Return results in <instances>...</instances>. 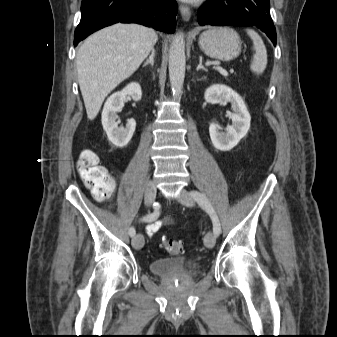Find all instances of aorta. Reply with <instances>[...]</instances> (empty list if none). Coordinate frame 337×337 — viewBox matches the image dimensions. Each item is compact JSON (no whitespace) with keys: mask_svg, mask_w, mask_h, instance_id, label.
Segmentation results:
<instances>
[{"mask_svg":"<svg viewBox=\"0 0 337 337\" xmlns=\"http://www.w3.org/2000/svg\"><path fill=\"white\" fill-rule=\"evenodd\" d=\"M185 40L183 32L179 31L173 38L169 50V78L173 95L179 97L182 93L185 78Z\"/></svg>","mask_w":337,"mask_h":337,"instance_id":"762f6f07","label":"aorta"}]
</instances>
